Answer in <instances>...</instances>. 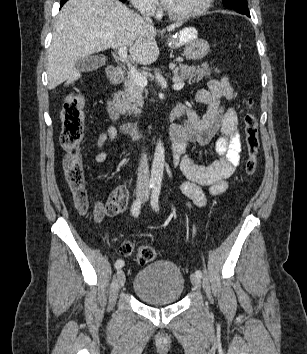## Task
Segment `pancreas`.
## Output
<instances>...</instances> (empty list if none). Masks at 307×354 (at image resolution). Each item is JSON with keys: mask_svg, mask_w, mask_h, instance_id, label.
Listing matches in <instances>:
<instances>
[{"mask_svg": "<svg viewBox=\"0 0 307 354\" xmlns=\"http://www.w3.org/2000/svg\"><path fill=\"white\" fill-rule=\"evenodd\" d=\"M219 73V70H215ZM212 74V69L208 64H203L201 66H186L179 65L173 69V80H178V82L187 81L189 84L198 83L204 77L209 78ZM146 91L136 85L128 75L124 82V91L119 92L121 96V103L119 105L120 110L128 114H139L141 113V107L144 104L143 93Z\"/></svg>", "mask_w": 307, "mask_h": 354, "instance_id": "cf45deb5", "label": "pancreas"}]
</instances>
